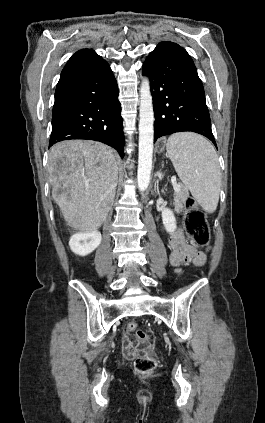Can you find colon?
Returning <instances> with one entry per match:
<instances>
[{"label":"colon","instance_id":"obj_1","mask_svg":"<svg viewBox=\"0 0 265 423\" xmlns=\"http://www.w3.org/2000/svg\"><path fill=\"white\" fill-rule=\"evenodd\" d=\"M185 228L187 234L193 241L203 247H209L210 230L206 220L205 213L200 209L193 197H188L185 201ZM127 330L134 332L140 341L141 347L148 349L151 346L149 335L138 329L137 323H127ZM156 368V361L151 357H138L135 360V370L141 374L151 373Z\"/></svg>","mask_w":265,"mask_h":423}]
</instances>
